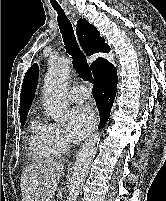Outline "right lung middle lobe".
I'll return each mask as SVG.
<instances>
[{"label":"right lung middle lobe","instance_id":"dd1d6c3e","mask_svg":"<svg viewBox=\"0 0 166 201\" xmlns=\"http://www.w3.org/2000/svg\"><path fill=\"white\" fill-rule=\"evenodd\" d=\"M27 117L20 118L21 125H24Z\"/></svg>","mask_w":166,"mask_h":201}]
</instances>
